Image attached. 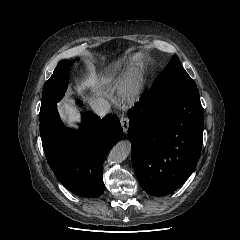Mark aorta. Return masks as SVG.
Here are the masks:
<instances>
[{"label": "aorta", "mask_w": 240, "mask_h": 240, "mask_svg": "<svg viewBox=\"0 0 240 240\" xmlns=\"http://www.w3.org/2000/svg\"><path fill=\"white\" fill-rule=\"evenodd\" d=\"M131 151V144L129 141H120L117 143L109 154V161L120 163L127 158Z\"/></svg>", "instance_id": "aorta-1"}]
</instances>
